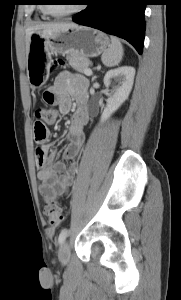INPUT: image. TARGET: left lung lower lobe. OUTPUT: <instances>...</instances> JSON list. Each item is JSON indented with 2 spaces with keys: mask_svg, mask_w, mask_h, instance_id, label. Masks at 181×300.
<instances>
[{
  "mask_svg": "<svg viewBox=\"0 0 181 300\" xmlns=\"http://www.w3.org/2000/svg\"><path fill=\"white\" fill-rule=\"evenodd\" d=\"M85 10L73 21L127 40L139 54L145 37L146 0H87Z\"/></svg>",
  "mask_w": 181,
  "mask_h": 300,
  "instance_id": "obj_1",
  "label": "left lung lower lobe"
}]
</instances>
